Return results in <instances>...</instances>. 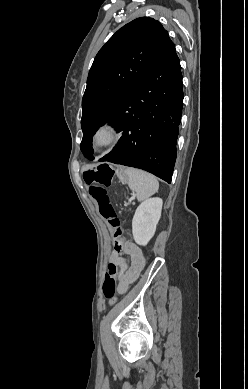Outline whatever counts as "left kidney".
<instances>
[{
	"mask_svg": "<svg viewBox=\"0 0 248 389\" xmlns=\"http://www.w3.org/2000/svg\"><path fill=\"white\" fill-rule=\"evenodd\" d=\"M162 205V199L155 197L145 200L136 209L132 220V233L138 245H147L154 236L161 217Z\"/></svg>",
	"mask_w": 248,
	"mask_h": 389,
	"instance_id": "5707ae66",
	"label": "left kidney"
}]
</instances>
